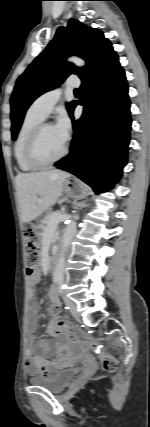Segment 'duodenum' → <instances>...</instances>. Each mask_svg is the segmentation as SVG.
<instances>
[{
  "instance_id": "obj_1",
  "label": "duodenum",
  "mask_w": 150,
  "mask_h": 427,
  "mask_svg": "<svg viewBox=\"0 0 150 427\" xmlns=\"http://www.w3.org/2000/svg\"><path fill=\"white\" fill-rule=\"evenodd\" d=\"M56 262H57V256H56V252H54V256L52 257L51 262H50L51 268H55Z\"/></svg>"
}]
</instances>
